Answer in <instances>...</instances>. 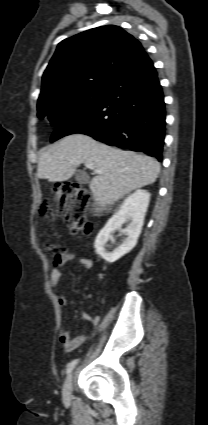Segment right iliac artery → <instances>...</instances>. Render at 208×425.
<instances>
[{
  "label": "right iliac artery",
  "instance_id": "right-iliac-artery-1",
  "mask_svg": "<svg viewBox=\"0 0 208 425\" xmlns=\"http://www.w3.org/2000/svg\"><path fill=\"white\" fill-rule=\"evenodd\" d=\"M77 362H78V359H75V360L71 361V362L67 365V368H66V373H67V374H69V373L73 370V368L75 367V365L77 364Z\"/></svg>",
  "mask_w": 208,
  "mask_h": 425
}]
</instances>
